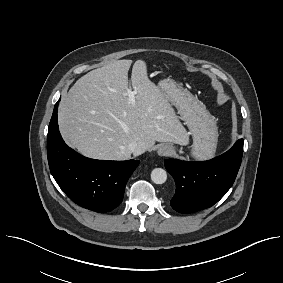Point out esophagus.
Returning a JSON list of instances; mask_svg holds the SVG:
<instances>
[{
	"label": "esophagus",
	"mask_w": 283,
	"mask_h": 283,
	"mask_svg": "<svg viewBox=\"0 0 283 283\" xmlns=\"http://www.w3.org/2000/svg\"><path fill=\"white\" fill-rule=\"evenodd\" d=\"M157 152L160 156H168L172 152V147H170L168 145H163V146L159 147Z\"/></svg>",
	"instance_id": "1"
}]
</instances>
